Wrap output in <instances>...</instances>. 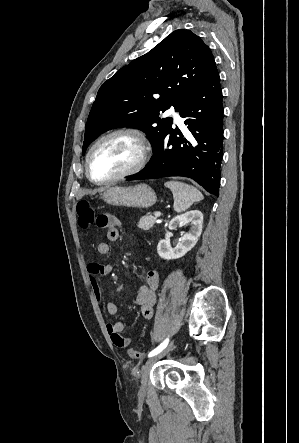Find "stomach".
Masks as SVG:
<instances>
[{
    "mask_svg": "<svg viewBox=\"0 0 299 443\" xmlns=\"http://www.w3.org/2000/svg\"><path fill=\"white\" fill-rule=\"evenodd\" d=\"M102 198L109 205L136 208H149L157 199L154 190L146 184L112 186L105 190Z\"/></svg>",
    "mask_w": 299,
    "mask_h": 443,
    "instance_id": "0dacf381",
    "label": "stomach"
}]
</instances>
